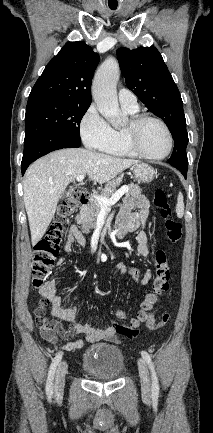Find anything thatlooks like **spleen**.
<instances>
[{"instance_id": "1", "label": "spleen", "mask_w": 213, "mask_h": 433, "mask_svg": "<svg viewBox=\"0 0 213 433\" xmlns=\"http://www.w3.org/2000/svg\"><path fill=\"white\" fill-rule=\"evenodd\" d=\"M176 213L179 218H182L184 215V198L181 192H179L177 197Z\"/></svg>"}]
</instances>
